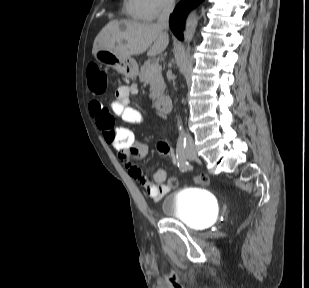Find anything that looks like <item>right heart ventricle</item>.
<instances>
[{
    "instance_id": "right-heart-ventricle-1",
    "label": "right heart ventricle",
    "mask_w": 309,
    "mask_h": 288,
    "mask_svg": "<svg viewBox=\"0 0 309 288\" xmlns=\"http://www.w3.org/2000/svg\"><path fill=\"white\" fill-rule=\"evenodd\" d=\"M124 12L138 20L148 19L146 17V10L143 7L141 0H125L124 1Z\"/></svg>"
}]
</instances>
